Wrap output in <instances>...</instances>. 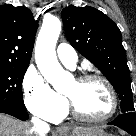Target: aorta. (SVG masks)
<instances>
[{"mask_svg": "<svg viewBox=\"0 0 136 136\" xmlns=\"http://www.w3.org/2000/svg\"><path fill=\"white\" fill-rule=\"evenodd\" d=\"M61 32V21L57 17H46L38 34L35 60L43 77L57 92L65 90V82L72 76L61 67L56 56V43Z\"/></svg>", "mask_w": 136, "mask_h": 136, "instance_id": "aorta-1", "label": "aorta"}]
</instances>
